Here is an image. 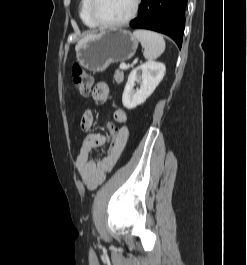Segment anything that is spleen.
Returning a JSON list of instances; mask_svg holds the SVG:
<instances>
[{"label":"spleen","instance_id":"3e777b00","mask_svg":"<svg viewBox=\"0 0 247 265\" xmlns=\"http://www.w3.org/2000/svg\"><path fill=\"white\" fill-rule=\"evenodd\" d=\"M133 36L138 39L144 48V57L153 60L165 50V41L159 33L150 30H135Z\"/></svg>","mask_w":247,"mask_h":265}]
</instances>
